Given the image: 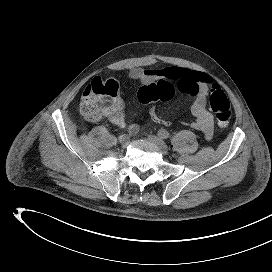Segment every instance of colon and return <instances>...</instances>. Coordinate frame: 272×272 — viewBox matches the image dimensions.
<instances>
[{
    "label": "colon",
    "instance_id": "1",
    "mask_svg": "<svg viewBox=\"0 0 272 272\" xmlns=\"http://www.w3.org/2000/svg\"><path fill=\"white\" fill-rule=\"evenodd\" d=\"M176 86L166 80H158L142 86L137 93V100L141 103H154L170 100ZM208 100L214 112L220 129L226 128L231 120L232 110L230 102L222 89L213 85L207 92ZM119 99V86L115 80L94 78L84 89L80 112L89 121H96L103 115H109Z\"/></svg>",
    "mask_w": 272,
    "mask_h": 272
}]
</instances>
